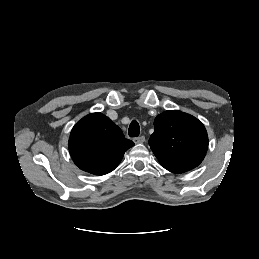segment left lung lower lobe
<instances>
[{
  "label": "left lung lower lobe",
  "mask_w": 259,
  "mask_h": 259,
  "mask_svg": "<svg viewBox=\"0 0 259 259\" xmlns=\"http://www.w3.org/2000/svg\"><path fill=\"white\" fill-rule=\"evenodd\" d=\"M163 167L173 173H183L191 170L190 168H185V167H173V166H163Z\"/></svg>",
  "instance_id": "obj_1"
}]
</instances>
